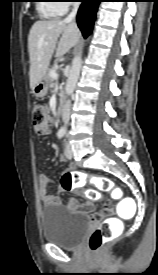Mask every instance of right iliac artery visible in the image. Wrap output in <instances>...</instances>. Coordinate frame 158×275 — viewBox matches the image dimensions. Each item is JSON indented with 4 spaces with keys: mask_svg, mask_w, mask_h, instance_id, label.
I'll return each mask as SVG.
<instances>
[{
    "mask_svg": "<svg viewBox=\"0 0 158 275\" xmlns=\"http://www.w3.org/2000/svg\"><path fill=\"white\" fill-rule=\"evenodd\" d=\"M65 132L64 131H58L57 136L59 139H61L64 136Z\"/></svg>",
    "mask_w": 158,
    "mask_h": 275,
    "instance_id": "obj_1",
    "label": "right iliac artery"
}]
</instances>
